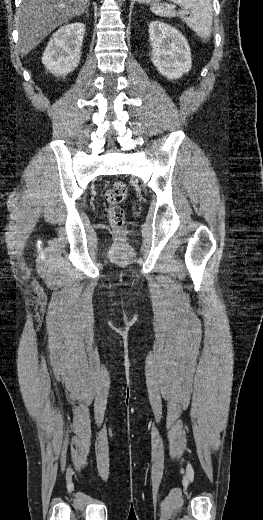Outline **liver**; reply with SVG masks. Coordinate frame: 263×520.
I'll return each instance as SVG.
<instances>
[{
	"mask_svg": "<svg viewBox=\"0 0 263 520\" xmlns=\"http://www.w3.org/2000/svg\"><path fill=\"white\" fill-rule=\"evenodd\" d=\"M89 0H22L16 13L21 56L27 55L53 30L83 14Z\"/></svg>",
	"mask_w": 263,
	"mask_h": 520,
	"instance_id": "obj_1",
	"label": "liver"
}]
</instances>
